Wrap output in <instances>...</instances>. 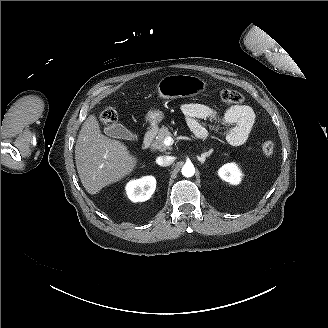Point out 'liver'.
<instances>
[{
    "mask_svg": "<svg viewBox=\"0 0 328 328\" xmlns=\"http://www.w3.org/2000/svg\"><path fill=\"white\" fill-rule=\"evenodd\" d=\"M75 161L81 183L92 195L131 173L137 163L124 144L101 134L94 115L85 120L79 132Z\"/></svg>",
    "mask_w": 328,
    "mask_h": 328,
    "instance_id": "obj_1",
    "label": "liver"
}]
</instances>
